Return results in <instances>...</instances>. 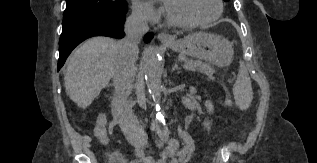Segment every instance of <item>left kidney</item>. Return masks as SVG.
Instances as JSON below:
<instances>
[{
    "instance_id": "left-kidney-1",
    "label": "left kidney",
    "mask_w": 317,
    "mask_h": 163,
    "mask_svg": "<svg viewBox=\"0 0 317 163\" xmlns=\"http://www.w3.org/2000/svg\"><path fill=\"white\" fill-rule=\"evenodd\" d=\"M205 107H206V109H207V111H208L209 113H213V111H214V106H213V104H212L210 101L207 100V101L205 102ZM210 127H211V122H210L209 120L205 121V122H204V128H206L207 130H209Z\"/></svg>"
}]
</instances>
